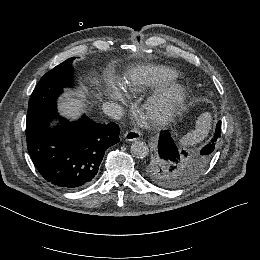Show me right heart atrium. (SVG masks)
Masks as SVG:
<instances>
[{"label": "right heart atrium", "instance_id": "right-heart-atrium-1", "mask_svg": "<svg viewBox=\"0 0 260 260\" xmlns=\"http://www.w3.org/2000/svg\"><path fill=\"white\" fill-rule=\"evenodd\" d=\"M98 98H119L118 92L114 89L109 79H104L97 87Z\"/></svg>", "mask_w": 260, "mask_h": 260}]
</instances>
